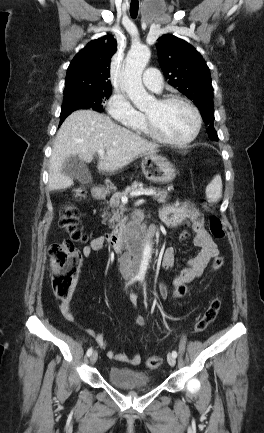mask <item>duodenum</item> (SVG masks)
I'll return each instance as SVG.
<instances>
[{
    "label": "duodenum",
    "mask_w": 264,
    "mask_h": 433,
    "mask_svg": "<svg viewBox=\"0 0 264 433\" xmlns=\"http://www.w3.org/2000/svg\"><path fill=\"white\" fill-rule=\"evenodd\" d=\"M93 197L97 200H103L106 197V193L98 187H94L92 189ZM126 229L127 224L122 223L118 228L113 231L107 232L105 234V238L108 244L115 250H120L125 248L126 243ZM145 236L153 237L156 234V227L151 226L145 229ZM134 256V252L132 250H128L125 252V259L122 262V269L125 273L134 274L137 269L131 265L130 259Z\"/></svg>",
    "instance_id": "duodenum-1"
}]
</instances>
